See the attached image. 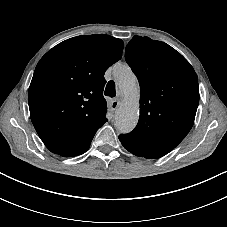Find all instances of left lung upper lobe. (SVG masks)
Returning a JSON list of instances; mask_svg holds the SVG:
<instances>
[{
    "label": "left lung upper lobe",
    "instance_id": "left-lung-upper-lobe-1",
    "mask_svg": "<svg viewBox=\"0 0 227 227\" xmlns=\"http://www.w3.org/2000/svg\"><path fill=\"white\" fill-rule=\"evenodd\" d=\"M125 59L140 84V117L136 128L119 138L166 155L193 126L199 103L197 75L174 48L148 37H133Z\"/></svg>",
    "mask_w": 227,
    "mask_h": 227
}]
</instances>
